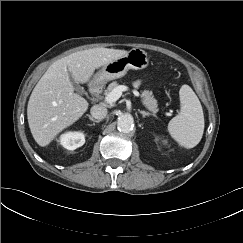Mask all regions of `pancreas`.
<instances>
[{
    "label": "pancreas",
    "mask_w": 243,
    "mask_h": 243,
    "mask_svg": "<svg viewBox=\"0 0 243 243\" xmlns=\"http://www.w3.org/2000/svg\"><path fill=\"white\" fill-rule=\"evenodd\" d=\"M120 86L118 82L114 81L110 83L105 90V95L109 94L114 88ZM141 100L143 105L150 111L156 113L158 111L157 100L154 98L153 92L149 90H143L141 92Z\"/></svg>",
    "instance_id": "cf45deb5"
}]
</instances>
